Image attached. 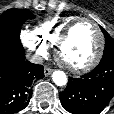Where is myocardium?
I'll use <instances>...</instances> for the list:
<instances>
[{
	"mask_svg": "<svg viewBox=\"0 0 114 114\" xmlns=\"http://www.w3.org/2000/svg\"><path fill=\"white\" fill-rule=\"evenodd\" d=\"M82 22H90L94 26V28L97 31L98 37H99V45H98V49H97L94 57L88 63L81 65V66H73V65L67 63L63 59L62 49H63L64 45L67 43V41L70 39L75 27ZM104 49H105V37H104L103 31H102L101 27L99 26V24L91 18L81 17V18H78V19L74 20L73 22H71L66 27V29L62 32L61 36L59 37V39L55 45V55H56L58 62L62 66H64L65 68H67L68 70H70L74 73L79 74V73H86V72L92 70L94 67H96L103 56Z\"/></svg>",
	"mask_w": 114,
	"mask_h": 114,
	"instance_id": "obj_1",
	"label": "myocardium"
}]
</instances>
